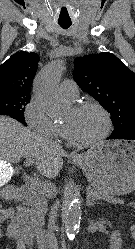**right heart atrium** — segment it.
I'll use <instances>...</instances> for the list:
<instances>
[{"instance_id":"1","label":"right heart atrium","mask_w":135,"mask_h":249,"mask_svg":"<svg viewBox=\"0 0 135 249\" xmlns=\"http://www.w3.org/2000/svg\"><path fill=\"white\" fill-rule=\"evenodd\" d=\"M24 117L34 132L49 138L60 136V126L48 116L43 104L36 96L32 97L27 104Z\"/></svg>"}]
</instances>
